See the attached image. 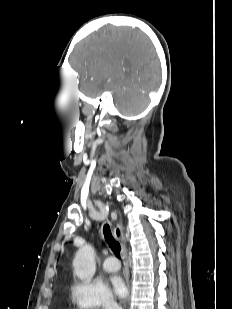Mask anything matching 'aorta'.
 Masks as SVG:
<instances>
[{
    "label": "aorta",
    "mask_w": 232,
    "mask_h": 309,
    "mask_svg": "<svg viewBox=\"0 0 232 309\" xmlns=\"http://www.w3.org/2000/svg\"><path fill=\"white\" fill-rule=\"evenodd\" d=\"M74 271L78 278L89 280L95 273V250L91 245L81 247L74 258Z\"/></svg>",
    "instance_id": "762f6f07"
}]
</instances>
